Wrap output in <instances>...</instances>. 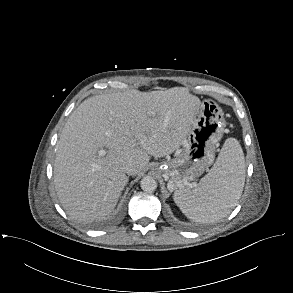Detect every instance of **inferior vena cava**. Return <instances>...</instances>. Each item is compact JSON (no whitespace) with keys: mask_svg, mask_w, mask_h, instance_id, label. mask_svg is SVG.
Instances as JSON below:
<instances>
[{"mask_svg":"<svg viewBox=\"0 0 293 293\" xmlns=\"http://www.w3.org/2000/svg\"><path fill=\"white\" fill-rule=\"evenodd\" d=\"M135 170H136L135 165L132 163H129L124 167V171L130 175L133 174Z\"/></svg>","mask_w":293,"mask_h":293,"instance_id":"602c4592","label":"inferior vena cava"}]
</instances>
